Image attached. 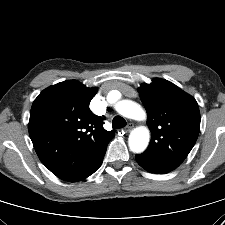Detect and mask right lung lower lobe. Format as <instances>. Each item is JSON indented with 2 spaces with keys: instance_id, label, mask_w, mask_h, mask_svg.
Here are the masks:
<instances>
[{
  "instance_id": "obj_1",
  "label": "right lung lower lobe",
  "mask_w": 225,
  "mask_h": 225,
  "mask_svg": "<svg viewBox=\"0 0 225 225\" xmlns=\"http://www.w3.org/2000/svg\"><path fill=\"white\" fill-rule=\"evenodd\" d=\"M106 148H107V147H106ZM106 148H105L104 151L101 153V156H100V158H99V162H98L97 165L95 166V168H94L92 174L100 167V165H101V163H102V161H103V157H104L105 152H106Z\"/></svg>"
}]
</instances>
